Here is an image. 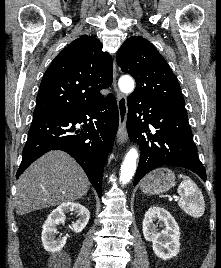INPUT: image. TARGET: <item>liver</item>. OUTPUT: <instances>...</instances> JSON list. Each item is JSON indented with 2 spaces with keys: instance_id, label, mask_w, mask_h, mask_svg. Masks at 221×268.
<instances>
[{
  "instance_id": "6515ba94",
  "label": "liver",
  "mask_w": 221,
  "mask_h": 268,
  "mask_svg": "<svg viewBox=\"0 0 221 268\" xmlns=\"http://www.w3.org/2000/svg\"><path fill=\"white\" fill-rule=\"evenodd\" d=\"M90 182L76 161L62 151H50L32 163L17 183L16 212H29L75 201Z\"/></svg>"
}]
</instances>
